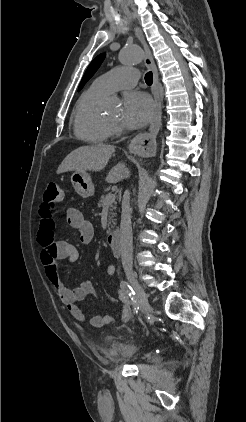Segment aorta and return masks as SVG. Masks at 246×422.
I'll return each mask as SVG.
<instances>
[{
	"label": "aorta",
	"instance_id": "obj_1",
	"mask_svg": "<svg viewBox=\"0 0 246 422\" xmlns=\"http://www.w3.org/2000/svg\"><path fill=\"white\" fill-rule=\"evenodd\" d=\"M120 61L124 64H138L143 60V51L137 46L123 48L119 54Z\"/></svg>",
	"mask_w": 246,
	"mask_h": 422
}]
</instances>
